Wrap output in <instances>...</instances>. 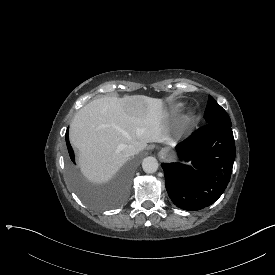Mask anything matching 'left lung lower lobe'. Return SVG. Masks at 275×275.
Masks as SVG:
<instances>
[{
  "mask_svg": "<svg viewBox=\"0 0 275 275\" xmlns=\"http://www.w3.org/2000/svg\"><path fill=\"white\" fill-rule=\"evenodd\" d=\"M177 149L191 165L161 164L170 199L188 211L210 206L222 195L232 173L235 143L231 125L207 123L179 143Z\"/></svg>",
  "mask_w": 275,
  "mask_h": 275,
  "instance_id": "0a47b994",
  "label": "left lung lower lobe"
}]
</instances>
